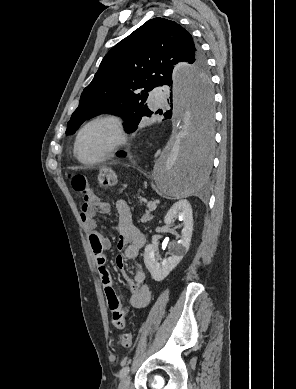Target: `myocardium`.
I'll list each match as a JSON object with an SVG mask.
<instances>
[{
  "label": "myocardium",
  "instance_id": "f54148a6",
  "mask_svg": "<svg viewBox=\"0 0 296 389\" xmlns=\"http://www.w3.org/2000/svg\"><path fill=\"white\" fill-rule=\"evenodd\" d=\"M100 123L108 124L112 128L114 132L113 141L108 145V147L103 151V153L99 157L93 160H85L82 157H80L78 153L80 139L88 128ZM126 140H127L126 130L121 117L114 114L100 115L89 120L79 129L75 138L73 152L77 160L80 161L81 163L86 165H95L111 157L120 147H122L125 144Z\"/></svg>",
  "mask_w": 296,
  "mask_h": 389
}]
</instances>
